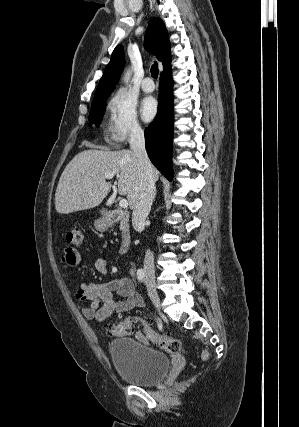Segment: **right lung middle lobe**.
<instances>
[{"label": "right lung middle lobe", "mask_w": 299, "mask_h": 427, "mask_svg": "<svg viewBox=\"0 0 299 427\" xmlns=\"http://www.w3.org/2000/svg\"><path fill=\"white\" fill-rule=\"evenodd\" d=\"M108 96L93 99L91 110L89 114V123L99 125L102 120V115L105 111V101Z\"/></svg>", "instance_id": "obj_1"}]
</instances>
